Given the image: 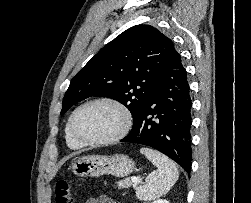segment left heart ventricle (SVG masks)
<instances>
[{"mask_svg": "<svg viewBox=\"0 0 251 203\" xmlns=\"http://www.w3.org/2000/svg\"><path fill=\"white\" fill-rule=\"evenodd\" d=\"M122 122L123 117L115 107L108 104H94L78 113L75 130L85 139L99 140L115 134Z\"/></svg>", "mask_w": 251, "mask_h": 203, "instance_id": "left-heart-ventricle-1", "label": "left heart ventricle"}]
</instances>
